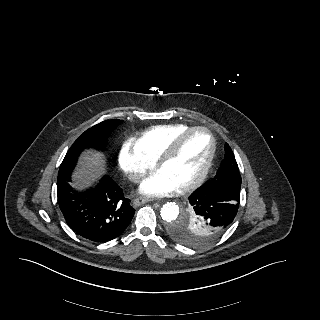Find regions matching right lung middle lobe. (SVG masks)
<instances>
[{"label": "right lung middle lobe", "mask_w": 320, "mask_h": 320, "mask_svg": "<svg viewBox=\"0 0 320 320\" xmlns=\"http://www.w3.org/2000/svg\"><path fill=\"white\" fill-rule=\"evenodd\" d=\"M120 120L103 121L81 134L64 157L58 173V182L70 177L79 154L86 148H104L106 138L117 127Z\"/></svg>", "instance_id": "right-lung-middle-lobe-1"}]
</instances>
